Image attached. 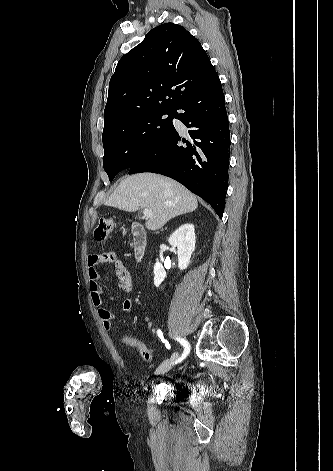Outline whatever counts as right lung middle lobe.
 Instances as JSON below:
<instances>
[{"label":"right lung middle lobe","instance_id":"right-lung-middle-lobe-1","mask_svg":"<svg viewBox=\"0 0 333 471\" xmlns=\"http://www.w3.org/2000/svg\"><path fill=\"white\" fill-rule=\"evenodd\" d=\"M173 118V111L147 110L117 121L104 130L103 167L109 180L130 168L154 146L171 129Z\"/></svg>","mask_w":333,"mask_h":471}]
</instances>
